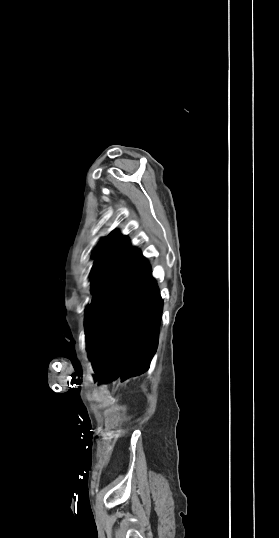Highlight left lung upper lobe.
Returning <instances> with one entry per match:
<instances>
[{
    "label": "left lung upper lobe",
    "mask_w": 279,
    "mask_h": 538,
    "mask_svg": "<svg viewBox=\"0 0 279 538\" xmlns=\"http://www.w3.org/2000/svg\"><path fill=\"white\" fill-rule=\"evenodd\" d=\"M137 250L130 246L127 236L111 232L93 251L95 257L92 277V294L96 293L132 257Z\"/></svg>",
    "instance_id": "1"
}]
</instances>
